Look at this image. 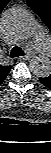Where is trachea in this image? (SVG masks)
<instances>
[{
    "label": "trachea",
    "instance_id": "trachea-1",
    "mask_svg": "<svg viewBox=\"0 0 51 153\" xmlns=\"http://www.w3.org/2000/svg\"><path fill=\"white\" fill-rule=\"evenodd\" d=\"M10 56L13 57H20L25 56V52L20 47H13L10 52Z\"/></svg>",
    "mask_w": 51,
    "mask_h": 153
}]
</instances>
